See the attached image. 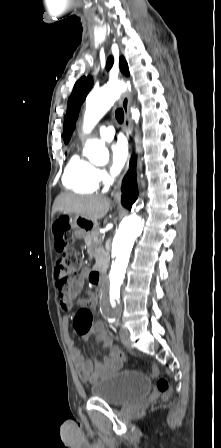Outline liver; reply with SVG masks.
<instances>
[{
    "label": "liver",
    "instance_id": "6515ba94",
    "mask_svg": "<svg viewBox=\"0 0 221 448\" xmlns=\"http://www.w3.org/2000/svg\"><path fill=\"white\" fill-rule=\"evenodd\" d=\"M110 204V200L104 196H77L62 193L54 201L53 213L63 211L97 222L107 214Z\"/></svg>",
    "mask_w": 221,
    "mask_h": 448
}]
</instances>
